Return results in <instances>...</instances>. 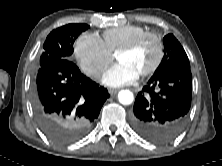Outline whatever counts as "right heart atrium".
I'll return each mask as SVG.
<instances>
[{
	"mask_svg": "<svg viewBox=\"0 0 222 166\" xmlns=\"http://www.w3.org/2000/svg\"><path fill=\"white\" fill-rule=\"evenodd\" d=\"M74 56L82 72L92 79H98L113 59L102 39L92 33H82L77 38Z\"/></svg>",
	"mask_w": 222,
	"mask_h": 166,
	"instance_id": "d8ad5b80",
	"label": "right heart atrium"
}]
</instances>
